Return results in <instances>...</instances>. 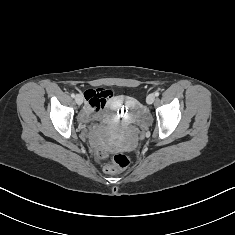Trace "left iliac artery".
Returning <instances> with one entry per match:
<instances>
[{
	"label": "left iliac artery",
	"instance_id": "obj_1",
	"mask_svg": "<svg viewBox=\"0 0 235 235\" xmlns=\"http://www.w3.org/2000/svg\"><path fill=\"white\" fill-rule=\"evenodd\" d=\"M159 94H160L159 91H156V92H155V96H156V97H158Z\"/></svg>",
	"mask_w": 235,
	"mask_h": 235
}]
</instances>
